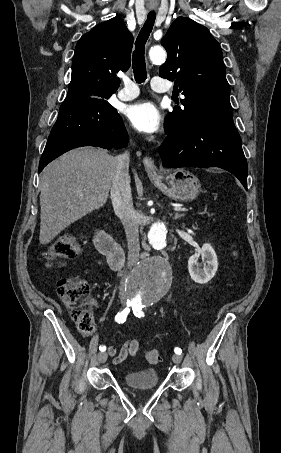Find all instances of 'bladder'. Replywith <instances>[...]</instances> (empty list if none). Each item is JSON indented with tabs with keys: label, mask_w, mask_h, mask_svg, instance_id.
I'll return each instance as SVG.
<instances>
[{
	"label": "bladder",
	"mask_w": 281,
	"mask_h": 453,
	"mask_svg": "<svg viewBox=\"0 0 281 453\" xmlns=\"http://www.w3.org/2000/svg\"><path fill=\"white\" fill-rule=\"evenodd\" d=\"M123 380L126 385L138 389L153 388L159 382L158 374L153 369L127 372Z\"/></svg>",
	"instance_id": "1"
}]
</instances>
